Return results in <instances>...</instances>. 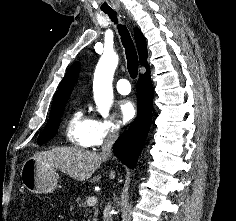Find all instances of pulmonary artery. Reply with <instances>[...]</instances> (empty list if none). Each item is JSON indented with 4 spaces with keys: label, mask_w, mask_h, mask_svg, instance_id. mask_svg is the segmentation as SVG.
<instances>
[{
    "label": "pulmonary artery",
    "mask_w": 236,
    "mask_h": 221,
    "mask_svg": "<svg viewBox=\"0 0 236 221\" xmlns=\"http://www.w3.org/2000/svg\"><path fill=\"white\" fill-rule=\"evenodd\" d=\"M116 89H117L118 93H120L122 95H127L131 91V86H130V83L127 79H119L116 82Z\"/></svg>",
    "instance_id": "pulmonary-artery-1"
}]
</instances>
